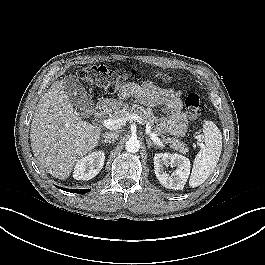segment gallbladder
<instances>
[{
    "label": "gallbladder",
    "instance_id": "gallbladder-1",
    "mask_svg": "<svg viewBox=\"0 0 265 265\" xmlns=\"http://www.w3.org/2000/svg\"><path fill=\"white\" fill-rule=\"evenodd\" d=\"M63 86L70 102L76 106L81 117L88 118L92 114L94 103L82 83L75 76L69 75L64 78Z\"/></svg>",
    "mask_w": 265,
    "mask_h": 265
}]
</instances>
